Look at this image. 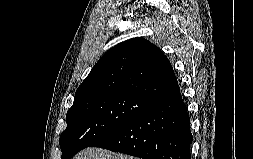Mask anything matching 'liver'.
Returning a JSON list of instances; mask_svg holds the SVG:
<instances>
[{"mask_svg": "<svg viewBox=\"0 0 253 159\" xmlns=\"http://www.w3.org/2000/svg\"><path fill=\"white\" fill-rule=\"evenodd\" d=\"M73 159H139L120 153H114L101 148L88 147L79 152Z\"/></svg>", "mask_w": 253, "mask_h": 159, "instance_id": "1", "label": "liver"}]
</instances>
